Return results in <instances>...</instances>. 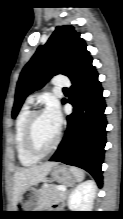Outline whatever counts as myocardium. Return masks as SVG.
I'll return each mask as SVG.
<instances>
[{
  "label": "myocardium",
  "instance_id": "myocardium-1",
  "mask_svg": "<svg viewBox=\"0 0 123 219\" xmlns=\"http://www.w3.org/2000/svg\"><path fill=\"white\" fill-rule=\"evenodd\" d=\"M44 113L43 110H34L30 113L27 123H26V128H25V136H24V141H25V147L28 153L38 159L44 158L48 156L50 153H52L58 146L61 140V130L58 129L57 136L53 143L45 150H41L36 146L35 140H34V124L36 121V118Z\"/></svg>",
  "mask_w": 123,
  "mask_h": 219
}]
</instances>
